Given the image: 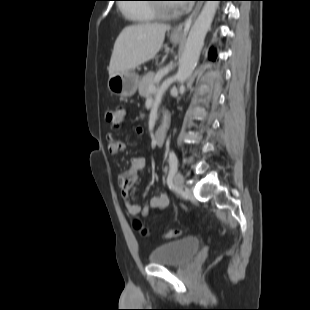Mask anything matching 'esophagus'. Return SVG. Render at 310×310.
Segmentation results:
<instances>
[{
	"instance_id": "esophagus-1",
	"label": "esophagus",
	"mask_w": 310,
	"mask_h": 310,
	"mask_svg": "<svg viewBox=\"0 0 310 310\" xmlns=\"http://www.w3.org/2000/svg\"><path fill=\"white\" fill-rule=\"evenodd\" d=\"M201 2L197 3L195 8L193 9L192 13L180 24H178L177 26L174 27L172 33L175 36H179V37H185L187 31L189 30L192 22L194 21V19L196 18L200 8H201Z\"/></svg>"
}]
</instances>
